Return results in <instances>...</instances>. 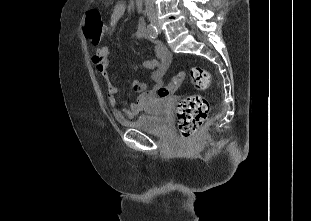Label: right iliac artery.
<instances>
[{"label": "right iliac artery", "instance_id": "1", "mask_svg": "<svg viewBox=\"0 0 311 221\" xmlns=\"http://www.w3.org/2000/svg\"><path fill=\"white\" fill-rule=\"evenodd\" d=\"M147 32H148L149 36L153 39L157 38V36H158V30L152 23H150L147 26Z\"/></svg>", "mask_w": 311, "mask_h": 221}]
</instances>
